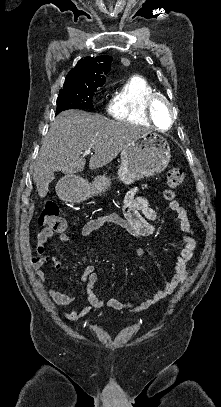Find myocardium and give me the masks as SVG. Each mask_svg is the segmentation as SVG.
I'll use <instances>...</instances> for the list:
<instances>
[{
	"instance_id": "1",
	"label": "myocardium",
	"mask_w": 221,
	"mask_h": 407,
	"mask_svg": "<svg viewBox=\"0 0 221 407\" xmlns=\"http://www.w3.org/2000/svg\"><path fill=\"white\" fill-rule=\"evenodd\" d=\"M159 103H163L165 104L170 112V122H169V126L167 127V130L170 129L173 124H174V108L172 103L170 102V100L165 97L162 94L156 93L152 96H150L146 103H145V110L148 116L149 121L152 123V125L159 131H165V130H161L157 125H156V121H155V115H154V109L155 107L159 104Z\"/></svg>"
}]
</instances>
